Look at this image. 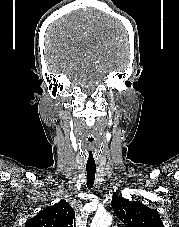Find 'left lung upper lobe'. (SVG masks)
I'll list each match as a JSON object with an SVG mask.
<instances>
[{"instance_id": "5c2ea615", "label": "left lung upper lobe", "mask_w": 179, "mask_h": 227, "mask_svg": "<svg viewBox=\"0 0 179 227\" xmlns=\"http://www.w3.org/2000/svg\"><path fill=\"white\" fill-rule=\"evenodd\" d=\"M111 206L125 227H164L158 212L140 202L114 194Z\"/></svg>"}]
</instances>
